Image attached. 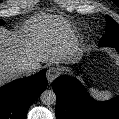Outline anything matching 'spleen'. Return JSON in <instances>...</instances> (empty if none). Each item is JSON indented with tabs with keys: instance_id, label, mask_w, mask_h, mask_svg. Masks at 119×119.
<instances>
[{
	"instance_id": "spleen-1",
	"label": "spleen",
	"mask_w": 119,
	"mask_h": 119,
	"mask_svg": "<svg viewBox=\"0 0 119 119\" xmlns=\"http://www.w3.org/2000/svg\"><path fill=\"white\" fill-rule=\"evenodd\" d=\"M91 95L98 100H109L112 97V93L109 91H98L97 89H89Z\"/></svg>"
}]
</instances>
